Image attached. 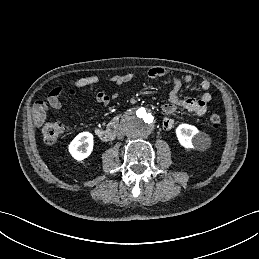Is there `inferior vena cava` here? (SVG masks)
I'll return each mask as SVG.
<instances>
[{
    "instance_id": "obj_1",
    "label": "inferior vena cava",
    "mask_w": 259,
    "mask_h": 259,
    "mask_svg": "<svg viewBox=\"0 0 259 259\" xmlns=\"http://www.w3.org/2000/svg\"><path fill=\"white\" fill-rule=\"evenodd\" d=\"M124 135H125V132H124L123 129H119V130L117 131V138H118V139L123 138Z\"/></svg>"
}]
</instances>
